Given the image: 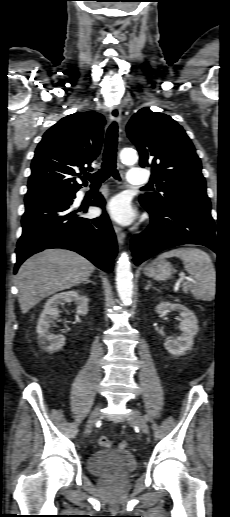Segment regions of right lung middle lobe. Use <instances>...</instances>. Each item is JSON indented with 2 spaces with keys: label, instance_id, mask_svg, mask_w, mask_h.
Here are the masks:
<instances>
[{
  "label": "right lung middle lobe",
  "instance_id": "obj_1",
  "mask_svg": "<svg viewBox=\"0 0 230 517\" xmlns=\"http://www.w3.org/2000/svg\"><path fill=\"white\" fill-rule=\"evenodd\" d=\"M72 196H73V194L72 195H61V196H55V197L47 198L45 200L65 201V200L71 199Z\"/></svg>",
  "mask_w": 230,
  "mask_h": 517
}]
</instances>
